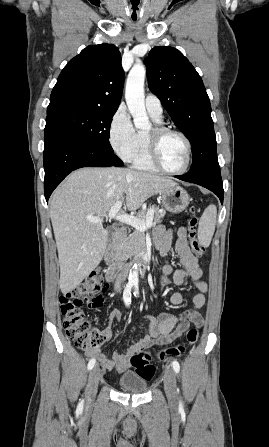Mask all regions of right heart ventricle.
I'll list each match as a JSON object with an SVG mask.
<instances>
[{
  "label": "right heart ventricle",
  "instance_id": "obj_1",
  "mask_svg": "<svg viewBox=\"0 0 269 447\" xmlns=\"http://www.w3.org/2000/svg\"><path fill=\"white\" fill-rule=\"evenodd\" d=\"M156 121L159 122L160 120ZM130 161L135 168L143 170H157V168L150 162L148 157L146 133L137 132L136 149Z\"/></svg>",
  "mask_w": 269,
  "mask_h": 447
}]
</instances>
